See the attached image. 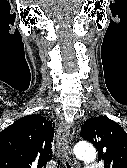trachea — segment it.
Wrapping results in <instances>:
<instances>
[{
  "label": "trachea",
  "mask_w": 127,
  "mask_h": 168,
  "mask_svg": "<svg viewBox=\"0 0 127 168\" xmlns=\"http://www.w3.org/2000/svg\"><path fill=\"white\" fill-rule=\"evenodd\" d=\"M60 166V161H58V168ZM66 168H71V166L68 164V162H66Z\"/></svg>",
  "instance_id": "trachea-1"
}]
</instances>
